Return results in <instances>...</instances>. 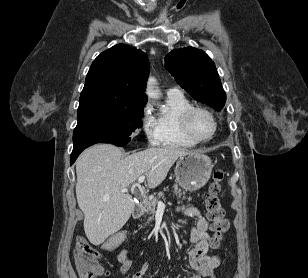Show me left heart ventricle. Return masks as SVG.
I'll return each mask as SVG.
<instances>
[{
    "instance_id": "obj_1",
    "label": "left heart ventricle",
    "mask_w": 308,
    "mask_h": 278,
    "mask_svg": "<svg viewBox=\"0 0 308 278\" xmlns=\"http://www.w3.org/2000/svg\"><path fill=\"white\" fill-rule=\"evenodd\" d=\"M189 126L193 134L199 138L210 136L214 128L210 116L202 111H196L191 115Z\"/></svg>"
}]
</instances>
